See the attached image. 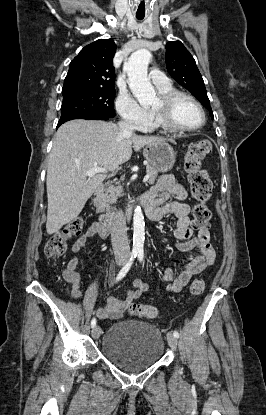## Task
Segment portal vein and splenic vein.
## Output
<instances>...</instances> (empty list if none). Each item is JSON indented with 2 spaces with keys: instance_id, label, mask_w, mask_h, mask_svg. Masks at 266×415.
I'll list each match as a JSON object with an SVG mask.
<instances>
[{
  "instance_id": "obj_1",
  "label": "portal vein and splenic vein",
  "mask_w": 266,
  "mask_h": 415,
  "mask_svg": "<svg viewBox=\"0 0 266 415\" xmlns=\"http://www.w3.org/2000/svg\"><path fill=\"white\" fill-rule=\"evenodd\" d=\"M97 173H107V170L105 168H102V167H93L89 171H87L84 174V176H86L88 178H92ZM149 177H150L149 175H145L144 178H143V182L148 181Z\"/></svg>"
}]
</instances>
